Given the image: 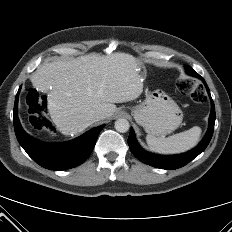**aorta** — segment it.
<instances>
[{
    "mask_svg": "<svg viewBox=\"0 0 232 232\" xmlns=\"http://www.w3.org/2000/svg\"><path fill=\"white\" fill-rule=\"evenodd\" d=\"M115 129L120 133H125L129 130V122L126 119L120 118L115 121Z\"/></svg>",
    "mask_w": 232,
    "mask_h": 232,
    "instance_id": "aorta-1",
    "label": "aorta"
}]
</instances>
